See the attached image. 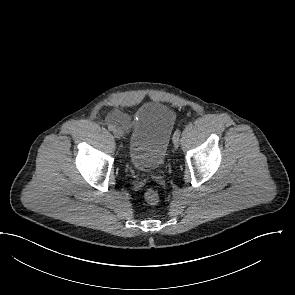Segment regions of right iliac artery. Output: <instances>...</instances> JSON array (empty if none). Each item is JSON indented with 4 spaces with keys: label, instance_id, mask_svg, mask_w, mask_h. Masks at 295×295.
I'll return each mask as SVG.
<instances>
[{
    "label": "right iliac artery",
    "instance_id": "right-iliac-artery-1",
    "mask_svg": "<svg viewBox=\"0 0 295 295\" xmlns=\"http://www.w3.org/2000/svg\"><path fill=\"white\" fill-rule=\"evenodd\" d=\"M108 129H109L110 131H113V130L115 129V127H114L113 125H109V126H108Z\"/></svg>",
    "mask_w": 295,
    "mask_h": 295
}]
</instances>
